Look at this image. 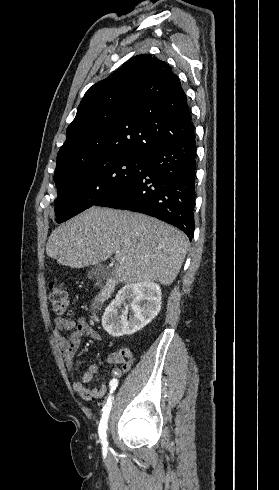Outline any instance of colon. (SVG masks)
<instances>
[{
	"instance_id": "colon-1",
	"label": "colon",
	"mask_w": 279,
	"mask_h": 490,
	"mask_svg": "<svg viewBox=\"0 0 279 490\" xmlns=\"http://www.w3.org/2000/svg\"><path fill=\"white\" fill-rule=\"evenodd\" d=\"M48 300L52 310L61 317H68L70 314L69 299L66 289L60 284H53L50 288Z\"/></svg>"
}]
</instances>
